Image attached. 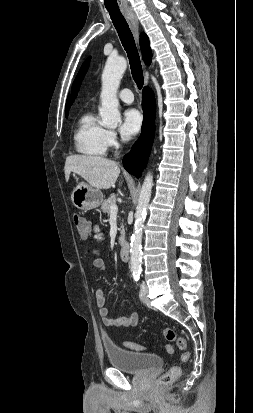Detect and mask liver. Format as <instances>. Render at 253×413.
Wrapping results in <instances>:
<instances>
[{
	"mask_svg": "<svg viewBox=\"0 0 253 413\" xmlns=\"http://www.w3.org/2000/svg\"><path fill=\"white\" fill-rule=\"evenodd\" d=\"M65 179L69 180L74 172L84 178L91 187L98 190L111 188L119 174L120 168L113 161L99 156L72 155L65 161Z\"/></svg>",
	"mask_w": 253,
	"mask_h": 413,
	"instance_id": "6515ba94",
	"label": "liver"
}]
</instances>
